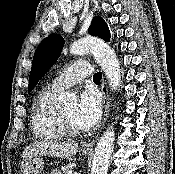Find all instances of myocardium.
<instances>
[{"mask_svg": "<svg viewBox=\"0 0 175 174\" xmlns=\"http://www.w3.org/2000/svg\"><path fill=\"white\" fill-rule=\"evenodd\" d=\"M59 120L65 135L70 137H77L83 134L82 130H77L71 125L69 120L64 115L62 109L59 110Z\"/></svg>", "mask_w": 175, "mask_h": 174, "instance_id": "obj_1", "label": "myocardium"}]
</instances>
